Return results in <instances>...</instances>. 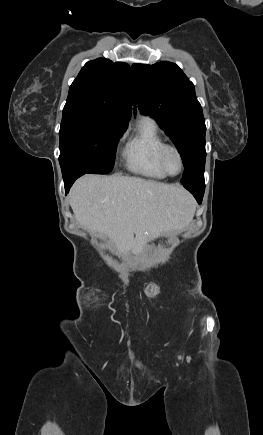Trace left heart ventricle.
<instances>
[{
    "label": "left heart ventricle",
    "instance_id": "left-heart-ventricle-1",
    "mask_svg": "<svg viewBox=\"0 0 263 435\" xmlns=\"http://www.w3.org/2000/svg\"><path fill=\"white\" fill-rule=\"evenodd\" d=\"M165 164L167 169L175 174L180 170V161L174 151H168L165 156Z\"/></svg>",
    "mask_w": 263,
    "mask_h": 435
}]
</instances>
